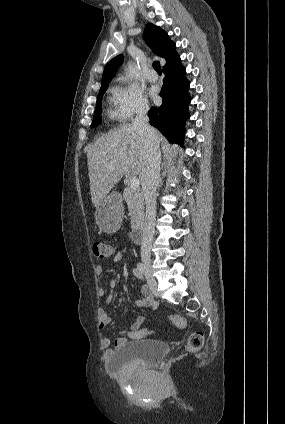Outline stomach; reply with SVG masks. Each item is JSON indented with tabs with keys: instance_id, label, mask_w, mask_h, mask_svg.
I'll list each match as a JSON object with an SVG mask.
<instances>
[{
	"instance_id": "0dacf381",
	"label": "stomach",
	"mask_w": 285,
	"mask_h": 424,
	"mask_svg": "<svg viewBox=\"0 0 285 424\" xmlns=\"http://www.w3.org/2000/svg\"><path fill=\"white\" fill-rule=\"evenodd\" d=\"M123 213L124 206L121 197L117 194L107 195L96 207V223L104 232H116L121 225Z\"/></svg>"
}]
</instances>
